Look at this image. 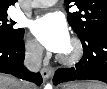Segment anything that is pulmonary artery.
<instances>
[{
	"label": "pulmonary artery",
	"instance_id": "1",
	"mask_svg": "<svg viewBox=\"0 0 107 89\" xmlns=\"http://www.w3.org/2000/svg\"><path fill=\"white\" fill-rule=\"evenodd\" d=\"M57 0H35L31 3L32 8H47L54 5Z\"/></svg>",
	"mask_w": 107,
	"mask_h": 89
}]
</instances>
